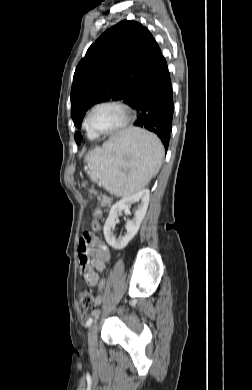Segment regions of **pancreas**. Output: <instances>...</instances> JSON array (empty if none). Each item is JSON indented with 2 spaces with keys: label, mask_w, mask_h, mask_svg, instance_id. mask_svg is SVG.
Instances as JSON below:
<instances>
[{
  "label": "pancreas",
  "mask_w": 252,
  "mask_h": 390,
  "mask_svg": "<svg viewBox=\"0 0 252 390\" xmlns=\"http://www.w3.org/2000/svg\"><path fill=\"white\" fill-rule=\"evenodd\" d=\"M112 203V200H108V197H103L101 200V206L103 207H110Z\"/></svg>",
  "instance_id": "pancreas-1"
}]
</instances>
